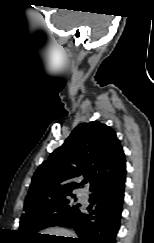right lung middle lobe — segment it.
Returning a JSON list of instances; mask_svg holds the SVG:
<instances>
[{
	"mask_svg": "<svg viewBox=\"0 0 154 243\" xmlns=\"http://www.w3.org/2000/svg\"><path fill=\"white\" fill-rule=\"evenodd\" d=\"M70 196L75 197L74 195L61 196L26 207L19 227L22 236L25 239L34 238L39 230L58 226L63 219L79 212L80 204L72 202Z\"/></svg>",
	"mask_w": 154,
	"mask_h": 243,
	"instance_id": "dd1d6c3e",
	"label": "right lung middle lobe"
}]
</instances>
